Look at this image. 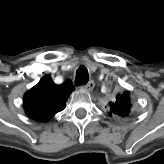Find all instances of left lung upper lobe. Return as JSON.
Masks as SVG:
<instances>
[{"label": "left lung upper lobe", "mask_w": 164, "mask_h": 164, "mask_svg": "<svg viewBox=\"0 0 164 164\" xmlns=\"http://www.w3.org/2000/svg\"><path fill=\"white\" fill-rule=\"evenodd\" d=\"M130 99L128 97V93H124L122 95H118L116 100L110 102V112L109 114H115L117 116L125 117L130 112Z\"/></svg>", "instance_id": "left-lung-upper-lobe-1"}]
</instances>
